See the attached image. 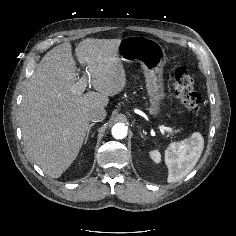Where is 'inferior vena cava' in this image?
I'll return each mask as SVG.
<instances>
[{
  "label": "inferior vena cava",
  "mask_w": 236,
  "mask_h": 236,
  "mask_svg": "<svg viewBox=\"0 0 236 236\" xmlns=\"http://www.w3.org/2000/svg\"><path fill=\"white\" fill-rule=\"evenodd\" d=\"M106 117V110L104 108L96 107L91 109L87 114V119L92 122H100Z\"/></svg>",
  "instance_id": "inferior-vena-cava-1"
}]
</instances>
